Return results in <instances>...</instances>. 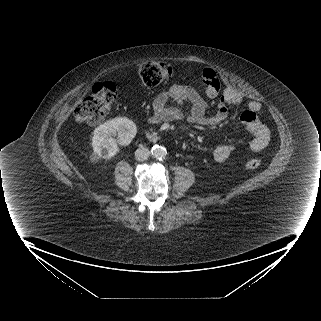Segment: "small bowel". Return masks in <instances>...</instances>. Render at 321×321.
Returning <instances> with one entry per match:
<instances>
[{"label":"small bowel","mask_w":321,"mask_h":321,"mask_svg":"<svg viewBox=\"0 0 321 321\" xmlns=\"http://www.w3.org/2000/svg\"><path fill=\"white\" fill-rule=\"evenodd\" d=\"M172 101L180 105L187 104L190 106V122L198 125L216 126L228 118L229 107L242 103L244 96L236 90L228 89L218 102L215 113L208 116L207 103L194 88L186 85H174L158 94L154 99L153 114L150 117V122L162 123L182 120L183 113L180 109L168 107V104ZM260 112L261 104L252 100L248 103L247 109L240 114L241 122L246 125L252 134L249 144L252 152L262 151L270 140V131L260 120ZM233 148L230 143L218 144L213 150V161L215 163L225 161L233 151Z\"/></svg>","instance_id":"obj_1"}]
</instances>
